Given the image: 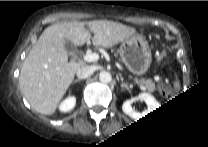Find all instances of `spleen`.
I'll list each match as a JSON object with an SVG mask.
<instances>
[{
	"instance_id": "spleen-1",
	"label": "spleen",
	"mask_w": 208,
	"mask_h": 147,
	"mask_svg": "<svg viewBox=\"0 0 208 147\" xmlns=\"http://www.w3.org/2000/svg\"><path fill=\"white\" fill-rule=\"evenodd\" d=\"M172 87L175 92H180L181 90V80L178 73L175 74L174 80L172 82Z\"/></svg>"
}]
</instances>
